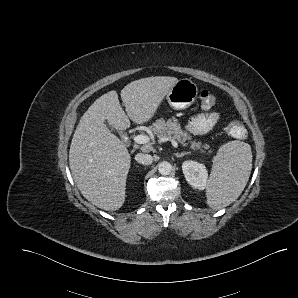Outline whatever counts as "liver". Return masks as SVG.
Segmentation results:
<instances>
[{
    "label": "liver",
    "mask_w": 298,
    "mask_h": 298,
    "mask_svg": "<svg viewBox=\"0 0 298 298\" xmlns=\"http://www.w3.org/2000/svg\"><path fill=\"white\" fill-rule=\"evenodd\" d=\"M177 81L171 76L132 81L120 92L126 113L112 90L97 98L83 114L71 141L69 165L77 188L93 205L106 211L122 207L131 164L127 147L105 121L119 131L128 129L130 120L148 122Z\"/></svg>",
    "instance_id": "liver-1"
}]
</instances>
